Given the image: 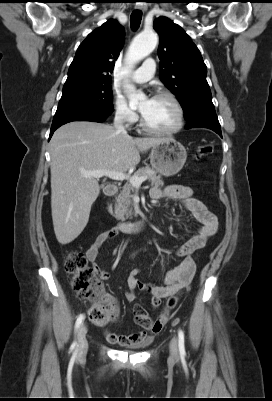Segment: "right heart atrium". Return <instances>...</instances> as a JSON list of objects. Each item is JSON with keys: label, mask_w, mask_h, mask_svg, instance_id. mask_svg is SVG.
Here are the masks:
<instances>
[{"label": "right heart atrium", "mask_w": 272, "mask_h": 401, "mask_svg": "<svg viewBox=\"0 0 272 401\" xmlns=\"http://www.w3.org/2000/svg\"><path fill=\"white\" fill-rule=\"evenodd\" d=\"M115 118L126 126H131L137 121L136 113L128 106L126 101L118 95L112 99Z\"/></svg>", "instance_id": "obj_1"}]
</instances>
